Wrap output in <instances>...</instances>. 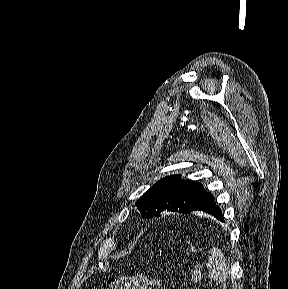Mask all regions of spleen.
Returning a JSON list of instances; mask_svg holds the SVG:
<instances>
[{
  "label": "spleen",
  "mask_w": 288,
  "mask_h": 289,
  "mask_svg": "<svg viewBox=\"0 0 288 289\" xmlns=\"http://www.w3.org/2000/svg\"><path fill=\"white\" fill-rule=\"evenodd\" d=\"M208 266L211 277L218 282L226 281L228 277V268L224 254L217 248H212L208 257Z\"/></svg>",
  "instance_id": "3e777b00"
}]
</instances>
